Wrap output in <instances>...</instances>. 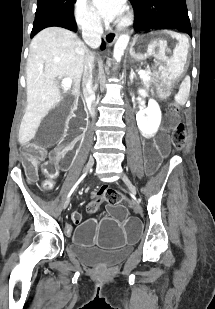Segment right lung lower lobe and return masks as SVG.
Instances as JSON below:
<instances>
[{
	"label": "right lung lower lobe",
	"instance_id": "98d812e1",
	"mask_svg": "<svg viewBox=\"0 0 215 309\" xmlns=\"http://www.w3.org/2000/svg\"><path fill=\"white\" fill-rule=\"evenodd\" d=\"M55 24H56V26H60V27H63V25H64V23H62V22H56ZM64 28H65V27H64ZM76 28H77V27H76ZM101 48H102V49L105 48V43H104V42L102 43Z\"/></svg>",
	"mask_w": 215,
	"mask_h": 309
}]
</instances>
